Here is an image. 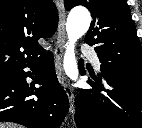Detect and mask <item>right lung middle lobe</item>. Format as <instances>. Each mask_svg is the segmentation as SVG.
<instances>
[{"label": "right lung middle lobe", "instance_id": "dd1d6c3e", "mask_svg": "<svg viewBox=\"0 0 142 128\" xmlns=\"http://www.w3.org/2000/svg\"><path fill=\"white\" fill-rule=\"evenodd\" d=\"M9 77H10V76L5 77V78H0V83H2V82H4V81H6Z\"/></svg>", "mask_w": 142, "mask_h": 128}]
</instances>
